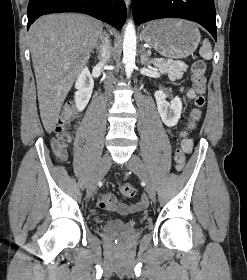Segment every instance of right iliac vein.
I'll list each match as a JSON object with an SVG mask.
<instances>
[{
    "label": "right iliac vein",
    "mask_w": 247,
    "mask_h": 280,
    "mask_svg": "<svg viewBox=\"0 0 247 280\" xmlns=\"http://www.w3.org/2000/svg\"><path fill=\"white\" fill-rule=\"evenodd\" d=\"M111 166V156L104 154L98 163L95 173L88 185L87 193L89 196L95 192L98 182L104 177Z\"/></svg>",
    "instance_id": "63e3f726"
}]
</instances>
